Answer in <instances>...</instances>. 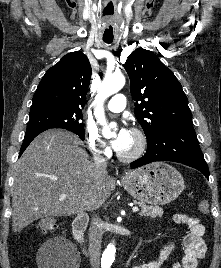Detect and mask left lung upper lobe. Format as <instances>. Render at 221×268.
<instances>
[{
	"instance_id": "left-lung-upper-lobe-1",
	"label": "left lung upper lobe",
	"mask_w": 221,
	"mask_h": 268,
	"mask_svg": "<svg viewBox=\"0 0 221 268\" xmlns=\"http://www.w3.org/2000/svg\"><path fill=\"white\" fill-rule=\"evenodd\" d=\"M130 78L135 116L147 141L175 127H193L188 99L182 86L160 59L142 48L132 52L124 65Z\"/></svg>"
}]
</instances>
